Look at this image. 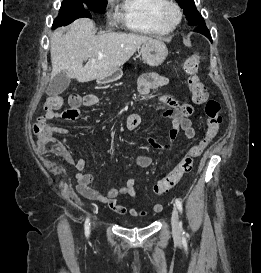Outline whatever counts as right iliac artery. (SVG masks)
<instances>
[{"instance_id":"82829eb1","label":"right iliac artery","mask_w":261,"mask_h":273,"mask_svg":"<svg viewBox=\"0 0 261 273\" xmlns=\"http://www.w3.org/2000/svg\"><path fill=\"white\" fill-rule=\"evenodd\" d=\"M90 234V222L89 219L87 218L85 221V235L86 237H89Z\"/></svg>"}]
</instances>
